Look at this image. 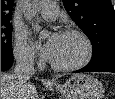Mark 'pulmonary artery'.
<instances>
[{
  "mask_svg": "<svg viewBox=\"0 0 115 99\" xmlns=\"http://www.w3.org/2000/svg\"><path fill=\"white\" fill-rule=\"evenodd\" d=\"M40 14L47 20H54L59 15V8L55 2L46 1L43 3Z\"/></svg>",
  "mask_w": 115,
  "mask_h": 99,
  "instance_id": "e3ab8cb5",
  "label": "pulmonary artery"
}]
</instances>
